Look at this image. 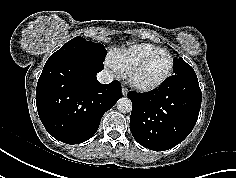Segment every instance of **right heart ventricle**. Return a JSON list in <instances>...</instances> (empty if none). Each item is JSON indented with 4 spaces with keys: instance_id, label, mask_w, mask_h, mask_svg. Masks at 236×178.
<instances>
[{
    "instance_id": "e07e8e85",
    "label": "right heart ventricle",
    "mask_w": 236,
    "mask_h": 178,
    "mask_svg": "<svg viewBox=\"0 0 236 178\" xmlns=\"http://www.w3.org/2000/svg\"><path fill=\"white\" fill-rule=\"evenodd\" d=\"M158 51H162V49L149 43L134 44L113 51L110 63L118 71L126 73L135 62Z\"/></svg>"
}]
</instances>
